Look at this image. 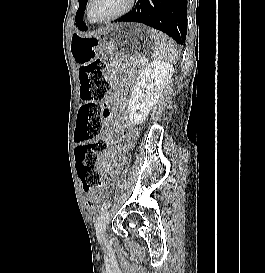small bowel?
Wrapping results in <instances>:
<instances>
[{"label":"small bowel","instance_id":"small-bowel-1","mask_svg":"<svg viewBox=\"0 0 265 273\" xmlns=\"http://www.w3.org/2000/svg\"><path fill=\"white\" fill-rule=\"evenodd\" d=\"M110 102L113 104L114 109H116L119 105L118 97L116 95H112L110 97ZM121 127L132 129L131 123L128 122V120L125 118H123L121 121ZM104 135L108 141H111V134L108 130L105 131ZM77 147H78V145H77ZM114 156H115V150L113 148H108L100 154V162L106 172H109L110 169L112 168ZM92 207L95 208L96 205H94Z\"/></svg>","mask_w":265,"mask_h":273}]
</instances>
